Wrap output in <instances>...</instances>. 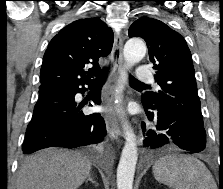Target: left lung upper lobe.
<instances>
[{
	"mask_svg": "<svg viewBox=\"0 0 223 189\" xmlns=\"http://www.w3.org/2000/svg\"><path fill=\"white\" fill-rule=\"evenodd\" d=\"M129 37H141L155 70L157 92L142 101L170 118L203 126L192 56L184 38L160 20L142 17L129 28Z\"/></svg>",
	"mask_w": 223,
	"mask_h": 189,
	"instance_id": "1",
	"label": "left lung upper lobe"
}]
</instances>
